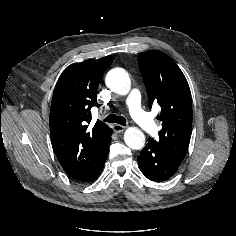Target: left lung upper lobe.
<instances>
[{
  "instance_id": "1",
  "label": "left lung upper lobe",
  "mask_w": 236,
  "mask_h": 236,
  "mask_svg": "<svg viewBox=\"0 0 236 236\" xmlns=\"http://www.w3.org/2000/svg\"><path fill=\"white\" fill-rule=\"evenodd\" d=\"M139 67L147 89L149 107L158 103L162 122L159 140L149 138L160 149L183 160L192 129V100L188 82L177 64L165 53H140Z\"/></svg>"
}]
</instances>
